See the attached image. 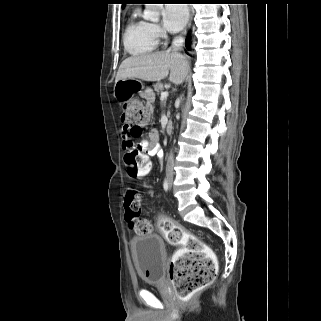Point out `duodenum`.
Segmentation results:
<instances>
[{
	"label": "duodenum",
	"instance_id": "1",
	"mask_svg": "<svg viewBox=\"0 0 321 321\" xmlns=\"http://www.w3.org/2000/svg\"><path fill=\"white\" fill-rule=\"evenodd\" d=\"M165 130L167 134H171L173 132V123L171 121L166 123Z\"/></svg>",
	"mask_w": 321,
	"mask_h": 321
}]
</instances>
